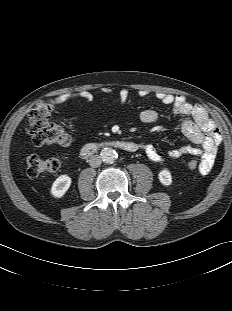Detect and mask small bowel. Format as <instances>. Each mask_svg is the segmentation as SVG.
<instances>
[{
  "label": "small bowel",
  "instance_id": "c3829d8e",
  "mask_svg": "<svg viewBox=\"0 0 232 311\" xmlns=\"http://www.w3.org/2000/svg\"><path fill=\"white\" fill-rule=\"evenodd\" d=\"M106 95L112 94L113 90L109 87L102 89ZM137 94L140 98H147L151 92L147 89H139ZM157 100L170 105L175 115L186 116L181 123L183 134L194 145H182L168 152V157L177 159L184 156H201L200 172L207 174L214 163L218 145L221 142V133L215 123L208 117L206 111L199 105L189 103L185 97L174 95L164 91L154 93ZM117 98L120 104L127 103L129 99V90L121 89ZM74 100L90 102L93 100V94L88 90L77 92H67L52 98L53 102L61 103ZM141 122L149 124L158 119V113L153 109H143L139 113ZM142 150L147 157L154 163L163 162V157L157 152L155 147L149 143L141 145Z\"/></svg>",
  "mask_w": 232,
  "mask_h": 311
}]
</instances>
